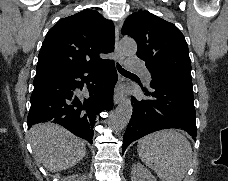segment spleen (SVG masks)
Returning <instances> with one entry per match:
<instances>
[{
  "mask_svg": "<svg viewBox=\"0 0 228 181\" xmlns=\"http://www.w3.org/2000/svg\"><path fill=\"white\" fill-rule=\"evenodd\" d=\"M138 155L161 181H182L192 159L191 145L181 133L157 131L138 141Z\"/></svg>",
  "mask_w": 228,
  "mask_h": 181,
  "instance_id": "spleen-1",
  "label": "spleen"
}]
</instances>
